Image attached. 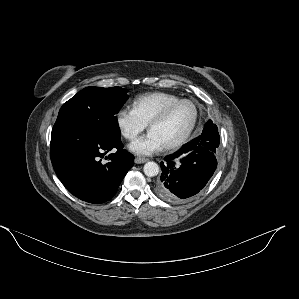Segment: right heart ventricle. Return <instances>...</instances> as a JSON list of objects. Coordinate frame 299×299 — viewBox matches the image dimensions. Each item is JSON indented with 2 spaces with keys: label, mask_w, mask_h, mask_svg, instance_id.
<instances>
[{
  "label": "right heart ventricle",
  "mask_w": 299,
  "mask_h": 299,
  "mask_svg": "<svg viewBox=\"0 0 299 299\" xmlns=\"http://www.w3.org/2000/svg\"><path fill=\"white\" fill-rule=\"evenodd\" d=\"M180 97L166 92H151L137 96L132 102V109L148 124L166 105Z\"/></svg>",
  "instance_id": "1"
}]
</instances>
